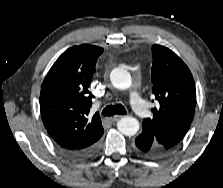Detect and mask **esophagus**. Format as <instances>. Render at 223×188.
<instances>
[{"mask_svg":"<svg viewBox=\"0 0 223 188\" xmlns=\"http://www.w3.org/2000/svg\"><path fill=\"white\" fill-rule=\"evenodd\" d=\"M122 117H123L122 115H115L110 118V121L114 123V122L118 121L119 119H121Z\"/></svg>","mask_w":223,"mask_h":188,"instance_id":"obj_1","label":"esophagus"}]
</instances>
